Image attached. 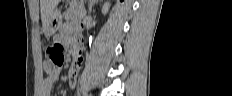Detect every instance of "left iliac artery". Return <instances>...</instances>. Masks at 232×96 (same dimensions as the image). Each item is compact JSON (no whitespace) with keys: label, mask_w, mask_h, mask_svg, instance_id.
<instances>
[{"label":"left iliac artery","mask_w":232,"mask_h":96,"mask_svg":"<svg viewBox=\"0 0 232 96\" xmlns=\"http://www.w3.org/2000/svg\"><path fill=\"white\" fill-rule=\"evenodd\" d=\"M83 95L87 96L86 92H83Z\"/></svg>","instance_id":"obj_1"}]
</instances>
